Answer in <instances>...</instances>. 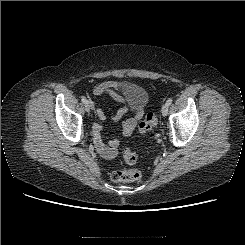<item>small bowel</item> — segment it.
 Segmentation results:
<instances>
[{
    "label": "small bowel",
    "mask_w": 245,
    "mask_h": 245,
    "mask_svg": "<svg viewBox=\"0 0 245 245\" xmlns=\"http://www.w3.org/2000/svg\"><path fill=\"white\" fill-rule=\"evenodd\" d=\"M121 85L115 81H106L96 85L93 88V94L96 96L107 94L112 97L114 100L123 103V107L119 109L116 113L112 114V119L114 121L120 120L129 110V107L125 99L120 94ZM96 113L101 120L106 118L105 113L99 108L96 107ZM144 114L143 107H137L134 114L126 119L122 124L121 135L123 137L130 136L135 130L138 122L142 119ZM103 128L100 125H96L94 128V144L101 156L104 158H114L117 155V150L120 145L119 139H113L108 142H105L102 137Z\"/></svg>",
    "instance_id": "1"
}]
</instances>
